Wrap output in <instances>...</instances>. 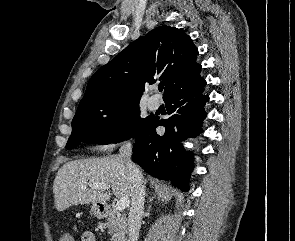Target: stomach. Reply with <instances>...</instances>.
I'll return each instance as SVG.
<instances>
[{
  "instance_id": "obj_1",
  "label": "stomach",
  "mask_w": 295,
  "mask_h": 241,
  "mask_svg": "<svg viewBox=\"0 0 295 241\" xmlns=\"http://www.w3.org/2000/svg\"><path fill=\"white\" fill-rule=\"evenodd\" d=\"M90 213L97 218H102L104 216V208L100 203L93 204Z\"/></svg>"
}]
</instances>
